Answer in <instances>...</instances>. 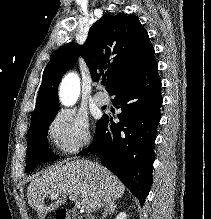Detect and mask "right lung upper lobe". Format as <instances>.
I'll use <instances>...</instances> for the list:
<instances>
[{"instance_id": "obj_1", "label": "right lung upper lobe", "mask_w": 211, "mask_h": 219, "mask_svg": "<svg viewBox=\"0 0 211 219\" xmlns=\"http://www.w3.org/2000/svg\"><path fill=\"white\" fill-rule=\"evenodd\" d=\"M79 56L88 64L94 81L107 76L109 93L155 59L148 33L137 16L104 15L91 26L83 46L67 43L54 53L43 72L32 118L58 110V85Z\"/></svg>"}]
</instances>
